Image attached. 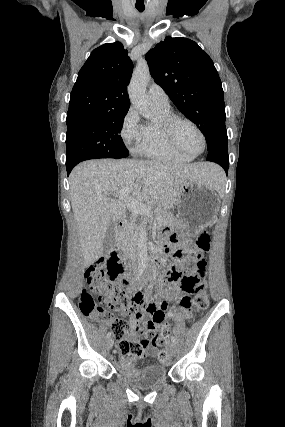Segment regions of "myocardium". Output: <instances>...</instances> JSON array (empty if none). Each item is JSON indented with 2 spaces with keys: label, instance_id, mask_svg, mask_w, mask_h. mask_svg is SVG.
Listing matches in <instances>:
<instances>
[{
  "label": "myocardium",
  "instance_id": "obj_1",
  "mask_svg": "<svg viewBox=\"0 0 285 427\" xmlns=\"http://www.w3.org/2000/svg\"><path fill=\"white\" fill-rule=\"evenodd\" d=\"M180 123L189 124L193 128H195V130L198 132V134L202 140V148L198 153L190 154V153L186 152L177 142V139L175 136V129H176V126ZM158 125H159V128H160L161 132L163 133L164 137L166 138V140L170 144V146L173 149H175L178 153H180L184 156H187L189 158H195L204 152L206 145H207V140H206L205 134L203 133L200 126L197 123H195L194 121H192L188 118H185V117H181V116L172 114V115L162 116L158 122Z\"/></svg>",
  "mask_w": 285,
  "mask_h": 427
}]
</instances>
